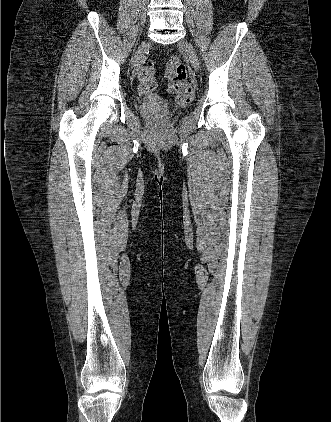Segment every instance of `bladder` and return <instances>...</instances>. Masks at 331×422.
<instances>
[{
    "label": "bladder",
    "instance_id": "obj_1",
    "mask_svg": "<svg viewBox=\"0 0 331 422\" xmlns=\"http://www.w3.org/2000/svg\"><path fill=\"white\" fill-rule=\"evenodd\" d=\"M146 101L150 104V107L147 108L148 113L152 115L161 113V109L158 105L157 98L153 97V98L147 99Z\"/></svg>",
    "mask_w": 331,
    "mask_h": 422
}]
</instances>
